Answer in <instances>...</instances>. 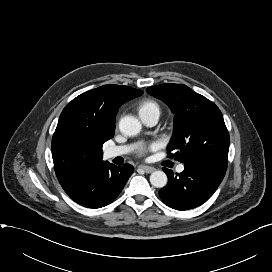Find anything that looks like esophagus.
I'll use <instances>...</instances> for the list:
<instances>
[{
    "label": "esophagus",
    "instance_id": "esophagus-1",
    "mask_svg": "<svg viewBox=\"0 0 272 272\" xmlns=\"http://www.w3.org/2000/svg\"><path fill=\"white\" fill-rule=\"evenodd\" d=\"M139 168L142 169L146 173H151V172L155 171L154 167L146 166V165H140Z\"/></svg>",
    "mask_w": 272,
    "mask_h": 272
}]
</instances>
